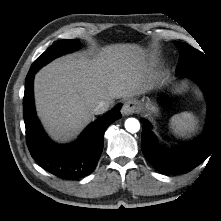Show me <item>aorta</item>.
<instances>
[{
	"instance_id": "obj_1",
	"label": "aorta",
	"mask_w": 221,
	"mask_h": 221,
	"mask_svg": "<svg viewBox=\"0 0 221 221\" xmlns=\"http://www.w3.org/2000/svg\"><path fill=\"white\" fill-rule=\"evenodd\" d=\"M125 129L130 133H136L140 130V123L136 118H128L125 121Z\"/></svg>"
}]
</instances>
